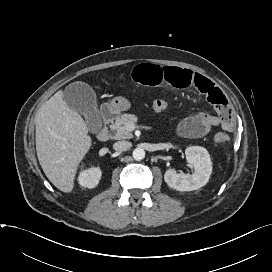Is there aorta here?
Masks as SVG:
<instances>
[{
    "mask_svg": "<svg viewBox=\"0 0 272 272\" xmlns=\"http://www.w3.org/2000/svg\"><path fill=\"white\" fill-rule=\"evenodd\" d=\"M133 158L137 161H140L145 158V151L143 148H136L133 150Z\"/></svg>",
    "mask_w": 272,
    "mask_h": 272,
    "instance_id": "aorta-1",
    "label": "aorta"
}]
</instances>
